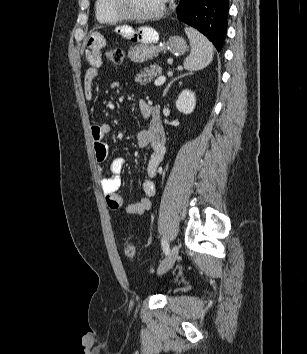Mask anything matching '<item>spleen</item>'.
Returning a JSON list of instances; mask_svg holds the SVG:
<instances>
[{
  "label": "spleen",
  "mask_w": 307,
  "mask_h": 354,
  "mask_svg": "<svg viewBox=\"0 0 307 354\" xmlns=\"http://www.w3.org/2000/svg\"><path fill=\"white\" fill-rule=\"evenodd\" d=\"M185 32L190 41L191 53L184 61V68L189 71H198L207 67L213 59V44L191 27L186 28Z\"/></svg>",
  "instance_id": "spleen-1"
}]
</instances>
